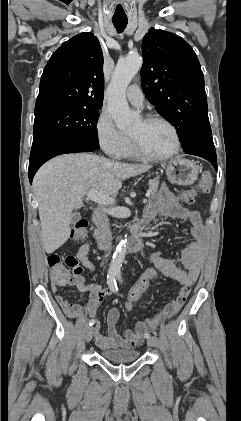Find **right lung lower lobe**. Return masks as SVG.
Here are the masks:
<instances>
[{
	"label": "right lung lower lobe",
	"mask_w": 241,
	"mask_h": 421,
	"mask_svg": "<svg viewBox=\"0 0 241 421\" xmlns=\"http://www.w3.org/2000/svg\"><path fill=\"white\" fill-rule=\"evenodd\" d=\"M95 150L96 148L91 145L73 141L56 142L31 149L28 171L30 183H32L37 170L49 159L66 153L91 152Z\"/></svg>",
	"instance_id": "right-lung-lower-lobe-1"
}]
</instances>
